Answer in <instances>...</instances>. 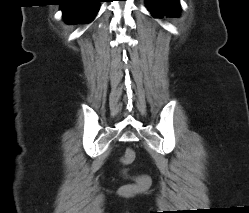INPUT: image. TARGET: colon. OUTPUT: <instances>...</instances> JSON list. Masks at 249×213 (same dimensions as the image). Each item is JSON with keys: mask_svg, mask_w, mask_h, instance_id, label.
Here are the masks:
<instances>
[{"mask_svg": "<svg viewBox=\"0 0 249 213\" xmlns=\"http://www.w3.org/2000/svg\"><path fill=\"white\" fill-rule=\"evenodd\" d=\"M134 157H135L134 151L132 149H127L122 158V163L125 165L131 163L134 160ZM120 191L122 194H129L134 191V187L126 186L123 187Z\"/></svg>", "mask_w": 249, "mask_h": 213, "instance_id": "obj_1", "label": "colon"}]
</instances>
